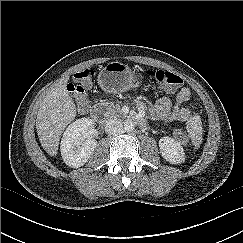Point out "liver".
<instances>
[{
  "instance_id": "liver-1",
  "label": "liver",
  "mask_w": 243,
  "mask_h": 243,
  "mask_svg": "<svg viewBox=\"0 0 243 243\" xmlns=\"http://www.w3.org/2000/svg\"><path fill=\"white\" fill-rule=\"evenodd\" d=\"M67 81V78L62 79L49 89L37 113V135L41 146L51 156L57 154L60 136L76 116V106L66 90Z\"/></svg>"
}]
</instances>
